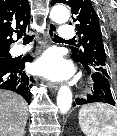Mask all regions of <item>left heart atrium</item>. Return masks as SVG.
<instances>
[{
	"label": "left heart atrium",
	"instance_id": "left-heart-atrium-1",
	"mask_svg": "<svg viewBox=\"0 0 117 136\" xmlns=\"http://www.w3.org/2000/svg\"><path fill=\"white\" fill-rule=\"evenodd\" d=\"M34 71L45 78L59 80L68 77L72 68L57 51L50 50L35 63Z\"/></svg>",
	"mask_w": 117,
	"mask_h": 136
}]
</instances>
